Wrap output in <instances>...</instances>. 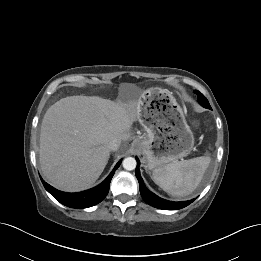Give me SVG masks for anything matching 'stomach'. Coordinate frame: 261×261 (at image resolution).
<instances>
[{"label": "stomach", "mask_w": 261, "mask_h": 261, "mask_svg": "<svg viewBox=\"0 0 261 261\" xmlns=\"http://www.w3.org/2000/svg\"><path fill=\"white\" fill-rule=\"evenodd\" d=\"M140 101L137 119L147 134L137 141V147L146 168L163 167L190 154L194 147L193 132L172 92L150 88Z\"/></svg>", "instance_id": "1"}]
</instances>
